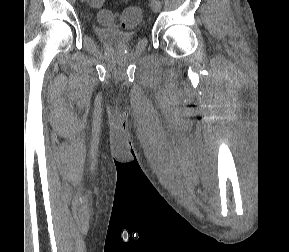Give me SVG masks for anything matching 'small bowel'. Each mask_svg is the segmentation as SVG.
Instances as JSON below:
<instances>
[{"instance_id":"obj_1","label":"small bowel","mask_w":289,"mask_h":252,"mask_svg":"<svg viewBox=\"0 0 289 252\" xmlns=\"http://www.w3.org/2000/svg\"><path fill=\"white\" fill-rule=\"evenodd\" d=\"M94 0H92V6H93V4H94V2H93Z\"/></svg>"}]
</instances>
